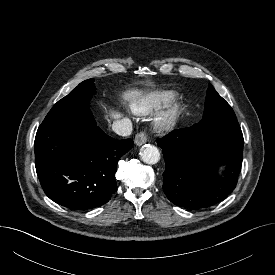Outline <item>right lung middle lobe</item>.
Instances as JSON below:
<instances>
[{
  "mask_svg": "<svg viewBox=\"0 0 275 275\" xmlns=\"http://www.w3.org/2000/svg\"><path fill=\"white\" fill-rule=\"evenodd\" d=\"M94 80L81 82L71 93L59 100L45 117L44 121L60 118L66 114L88 108L92 95L95 92Z\"/></svg>",
  "mask_w": 275,
  "mask_h": 275,
  "instance_id": "dd1d6c3e",
  "label": "right lung middle lobe"
}]
</instances>
